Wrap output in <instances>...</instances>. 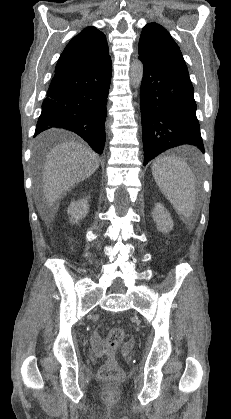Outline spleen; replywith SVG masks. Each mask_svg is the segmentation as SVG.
Instances as JSON below:
<instances>
[{"label": "spleen", "instance_id": "3e777b00", "mask_svg": "<svg viewBox=\"0 0 231 419\" xmlns=\"http://www.w3.org/2000/svg\"><path fill=\"white\" fill-rule=\"evenodd\" d=\"M152 175L178 214L190 218L196 201L195 178L190 167L176 156L163 155L154 160Z\"/></svg>", "mask_w": 231, "mask_h": 419}]
</instances>
